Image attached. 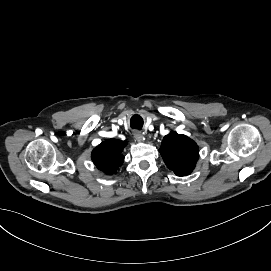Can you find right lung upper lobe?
<instances>
[{"label": "right lung upper lobe", "mask_w": 271, "mask_h": 271, "mask_svg": "<svg viewBox=\"0 0 271 271\" xmlns=\"http://www.w3.org/2000/svg\"><path fill=\"white\" fill-rule=\"evenodd\" d=\"M126 145L127 141L108 139L94 148L91 155L92 161L105 174H116L123 164L124 156L122 151Z\"/></svg>", "instance_id": "right-lung-upper-lobe-1"}]
</instances>
